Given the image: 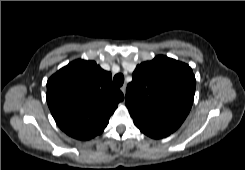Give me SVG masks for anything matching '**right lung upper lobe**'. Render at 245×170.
I'll return each mask as SVG.
<instances>
[{"mask_svg": "<svg viewBox=\"0 0 245 170\" xmlns=\"http://www.w3.org/2000/svg\"><path fill=\"white\" fill-rule=\"evenodd\" d=\"M123 99L111 73L94 61H73L47 82V103L57 125L79 140L102 133Z\"/></svg>", "mask_w": 245, "mask_h": 170, "instance_id": "cb5924a9", "label": "right lung upper lobe"}]
</instances>
